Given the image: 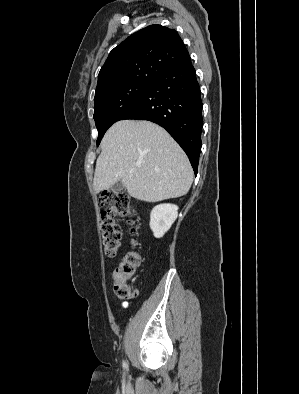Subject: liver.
<instances>
[{
  "instance_id": "1",
  "label": "liver",
  "mask_w": 299,
  "mask_h": 394,
  "mask_svg": "<svg viewBox=\"0 0 299 394\" xmlns=\"http://www.w3.org/2000/svg\"><path fill=\"white\" fill-rule=\"evenodd\" d=\"M93 179L96 193L122 181L130 196L158 202L185 195L193 182L188 157L162 127L121 120L101 142Z\"/></svg>"
}]
</instances>
